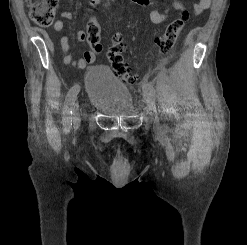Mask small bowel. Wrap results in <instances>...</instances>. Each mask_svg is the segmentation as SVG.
<instances>
[{
    "label": "small bowel",
    "mask_w": 247,
    "mask_h": 245,
    "mask_svg": "<svg viewBox=\"0 0 247 245\" xmlns=\"http://www.w3.org/2000/svg\"><path fill=\"white\" fill-rule=\"evenodd\" d=\"M133 1L137 2L138 4L142 6H150L153 4V0H133ZM211 2L212 0H199L193 8V14L199 15L203 11L207 10L210 7ZM90 4L92 7H95L98 3L95 2L94 0H90ZM172 7L177 11H180L183 13L186 12V8L178 0H172ZM168 14H169L168 9L164 11L152 10L150 13V19L154 24H161L167 20ZM62 18L67 19V20L73 19L72 11L70 9L65 10L62 13ZM64 27L65 25L62 20H57L53 25L54 30L57 32H62L64 30ZM76 38L79 41H84L86 39V34L83 31H78L76 33ZM115 38L119 39L120 34H116ZM60 44H61V48L63 51V62L66 65H72L73 67L77 69H83L86 67L87 64L93 63L96 59L95 52L92 50L86 51L83 55V58L73 59V57L70 54L69 38L66 35L61 37Z\"/></svg>",
    "instance_id": "c3829d8e"
}]
</instances>
